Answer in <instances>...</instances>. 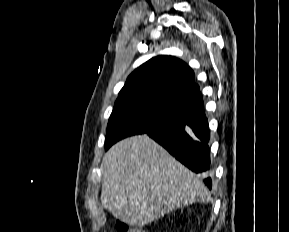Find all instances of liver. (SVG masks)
I'll return each instance as SVG.
<instances>
[{
    "label": "liver",
    "mask_w": 289,
    "mask_h": 232,
    "mask_svg": "<svg viewBox=\"0 0 289 232\" xmlns=\"http://www.w3.org/2000/svg\"><path fill=\"white\" fill-rule=\"evenodd\" d=\"M101 172L102 205L130 226L142 227L210 198L199 177L146 134L113 145L103 157Z\"/></svg>",
    "instance_id": "obj_1"
}]
</instances>
